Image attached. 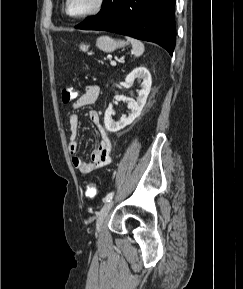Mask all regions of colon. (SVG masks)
Returning a JSON list of instances; mask_svg holds the SVG:
<instances>
[{"label":"colon","instance_id":"obj_1","mask_svg":"<svg viewBox=\"0 0 243 289\" xmlns=\"http://www.w3.org/2000/svg\"><path fill=\"white\" fill-rule=\"evenodd\" d=\"M77 96L76 89L67 85L62 89V102L68 104L72 102ZM97 190L94 183H88L85 189V195L87 198H94L96 196Z\"/></svg>","mask_w":243,"mask_h":289}]
</instances>
